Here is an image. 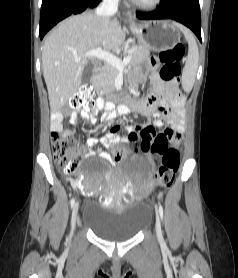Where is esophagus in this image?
I'll use <instances>...</instances> for the list:
<instances>
[{
  "mask_svg": "<svg viewBox=\"0 0 238 278\" xmlns=\"http://www.w3.org/2000/svg\"><path fill=\"white\" fill-rule=\"evenodd\" d=\"M126 17H127V19H128L130 22H132V15H131L130 12H128V13L126 14Z\"/></svg>",
  "mask_w": 238,
  "mask_h": 278,
  "instance_id": "obj_1",
  "label": "esophagus"
}]
</instances>
